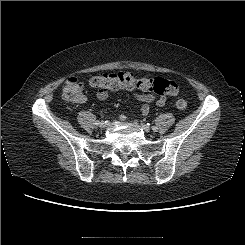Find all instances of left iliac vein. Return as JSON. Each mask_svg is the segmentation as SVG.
Masks as SVG:
<instances>
[{"instance_id": "obj_1", "label": "left iliac vein", "mask_w": 245, "mask_h": 245, "mask_svg": "<svg viewBox=\"0 0 245 245\" xmlns=\"http://www.w3.org/2000/svg\"><path fill=\"white\" fill-rule=\"evenodd\" d=\"M140 127L145 131V132H150V127L147 124H141Z\"/></svg>"}]
</instances>
